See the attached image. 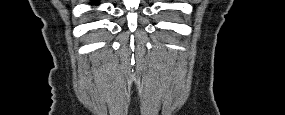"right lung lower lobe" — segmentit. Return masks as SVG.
<instances>
[{"instance_id": "right-lung-lower-lobe-1", "label": "right lung lower lobe", "mask_w": 285, "mask_h": 115, "mask_svg": "<svg viewBox=\"0 0 285 115\" xmlns=\"http://www.w3.org/2000/svg\"><path fill=\"white\" fill-rule=\"evenodd\" d=\"M91 5H99L100 3L98 1H94L90 3Z\"/></svg>"}]
</instances>
